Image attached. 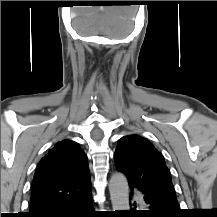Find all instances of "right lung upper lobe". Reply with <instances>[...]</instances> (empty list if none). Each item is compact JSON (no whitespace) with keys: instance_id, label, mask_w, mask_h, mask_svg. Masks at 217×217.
Returning a JSON list of instances; mask_svg holds the SVG:
<instances>
[{"instance_id":"1","label":"right lung upper lobe","mask_w":217,"mask_h":217,"mask_svg":"<svg viewBox=\"0 0 217 217\" xmlns=\"http://www.w3.org/2000/svg\"><path fill=\"white\" fill-rule=\"evenodd\" d=\"M87 156L72 140L58 142L39 162L32 182L29 217L91 195Z\"/></svg>"}]
</instances>
